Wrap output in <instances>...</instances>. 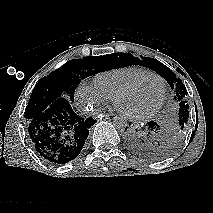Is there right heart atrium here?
<instances>
[{
    "label": "right heart atrium",
    "mask_w": 213,
    "mask_h": 213,
    "mask_svg": "<svg viewBox=\"0 0 213 213\" xmlns=\"http://www.w3.org/2000/svg\"><path fill=\"white\" fill-rule=\"evenodd\" d=\"M109 101L110 98L95 83L84 81L76 88L75 102L80 109L93 110L108 104Z\"/></svg>",
    "instance_id": "right-heart-atrium-1"
}]
</instances>
